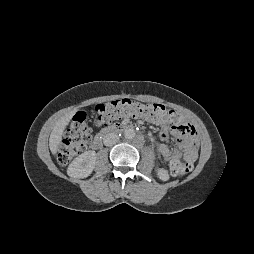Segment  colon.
<instances>
[{"label":"colon","instance_id":"obj_1","mask_svg":"<svg viewBox=\"0 0 254 254\" xmlns=\"http://www.w3.org/2000/svg\"><path fill=\"white\" fill-rule=\"evenodd\" d=\"M98 125H109L124 116L143 118L153 122L175 120V112L159 103H141L132 99H119L99 104L95 109ZM91 138V128L84 113H78L67 126L59 146L58 162L68 164L86 147ZM192 170V164L175 159L170 163V172L174 176H185Z\"/></svg>","mask_w":254,"mask_h":254}]
</instances>
